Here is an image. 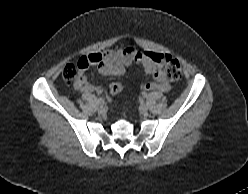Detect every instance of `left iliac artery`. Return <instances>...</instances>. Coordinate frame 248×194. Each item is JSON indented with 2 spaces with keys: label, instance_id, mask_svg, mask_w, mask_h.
<instances>
[{
  "label": "left iliac artery",
  "instance_id": "1",
  "mask_svg": "<svg viewBox=\"0 0 248 194\" xmlns=\"http://www.w3.org/2000/svg\"><path fill=\"white\" fill-rule=\"evenodd\" d=\"M148 96L147 93H143V97L146 98Z\"/></svg>",
  "mask_w": 248,
  "mask_h": 194
}]
</instances>
